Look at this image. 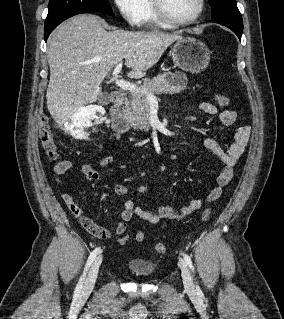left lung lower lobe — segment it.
<instances>
[{"mask_svg": "<svg viewBox=\"0 0 284 319\" xmlns=\"http://www.w3.org/2000/svg\"><path fill=\"white\" fill-rule=\"evenodd\" d=\"M211 21L228 27L241 40V34L243 31V23H237V22L228 21V20H213V19Z\"/></svg>", "mask_w": 284, "mask_h": 319, "instance_id": "left-lung-lower-lobe-1", "label": "left lung lower lobe"}]
</instances>
